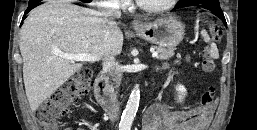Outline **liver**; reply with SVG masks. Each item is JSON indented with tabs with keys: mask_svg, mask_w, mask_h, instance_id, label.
I'll return each mask as SVG.
<instances>
[{
	"mask_svg": "<svg viewBox=\"0 0 257 130\" xmlns=\"http://www.w3.org/2000/svg\"><path fill=\"white\" fill-rule=\"evenodd\" d=\"M102 13L67 2L48 0L33 9L20 31L23 79L30 109L38 107L64 84L83 63L56 55H119L123 34L110 31Z\"/></svg>",
	"mask_w": 257,
	"mask_h": 130,
	"instance_id": "obj_1",
	"label": "liver"
}]
</instances>
